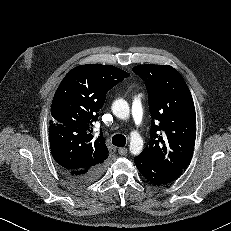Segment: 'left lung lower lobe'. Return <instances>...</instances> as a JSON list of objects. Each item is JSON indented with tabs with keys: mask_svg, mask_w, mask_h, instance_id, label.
<instances>
[{
	"mask_svg": "<svg viewBox=\"0 0 231 231\" xmlns=\"http://www.w3.org/2000/svg\"><path fill=\"white\" fill-rule=\"evenodd\" d=\"M134 163L141 174L154 185L167 184L178 178L183 171L164 168L139 155L134 158Z\"/></svg>",
	"mask_w": 231,
	"mask_h": 231,
	"instance_id": "left-lung-lower-lobe-1",
	"label": "left lung lower lobe"
}]
</instances>
